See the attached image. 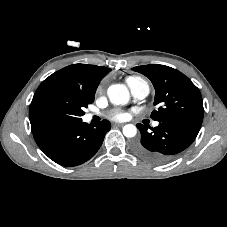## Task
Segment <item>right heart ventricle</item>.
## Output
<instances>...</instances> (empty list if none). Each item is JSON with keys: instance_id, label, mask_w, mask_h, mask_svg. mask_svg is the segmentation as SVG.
I'll use <instances>...</instances> for the list:
<instances>
[{"instance_id": "obj_1", "label": "right heart ventricle", "mask_w": 227, "mask_h": 227, "mask_svg": "<svg viewBox=\"0 0 227 227\" xmlns=\"http://www.w3.org/2000/svg\"><path fill=\"white\" fill-rule=\"evenodd\" d=\"M138 80H142L141 78L139 77H135V76H130L126 79V82L127 84L131 83V82H134V81H138Z\"/></svg>"}]
</instances>
